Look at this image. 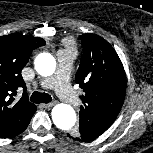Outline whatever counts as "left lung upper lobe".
I'll use <instances>...</instances> for the list:
<instances>
[{
  "mask_svg": "<svg viewBox=\"0 0 153 153\" xmlns=\"http://www.w3.org/2000/svg\"><path fill=\"white\" fill-rule=\"evenodd\" d=\"M83 56L75 81L84 91L80 96V137L93 140L106 131L118 116L126 93V75L120 58L102 37L79 36Z\"/></svg>",
  "mask_w": 153,
  "mask_h": 153,
  "instance_id": "1",
  "label": "left lung upper lobe"
}]
</instances>
